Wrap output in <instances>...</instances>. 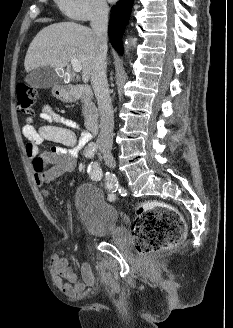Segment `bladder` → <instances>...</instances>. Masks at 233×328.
I'll list each match as a JSON object with an SVG mask.
<instances>
[{
	"label": "bladder",
	"mask_w": 233,
	"mask_h": 328,
	"mask_svg": "<svg viewBox=\"0 0 233 328\" xmlns=\"http://www.w3.org/2000/svg\"><path fill=\"white\" fill-rule=\"evenodd\" d=\"M74 204L85 231L94 237L112 236L118 229L117 209L92 184H81L74 194Z\"/></svg>",
	"instance_id": "31cf9c89"
}]
</instances>
